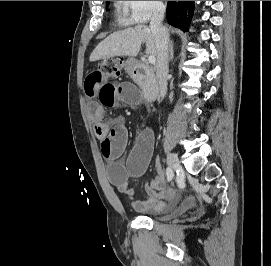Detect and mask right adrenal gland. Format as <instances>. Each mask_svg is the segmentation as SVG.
I'll return each mask as SVG.
<instances>
[{
	"mask_svg": "<svg viewBox=\"0 0 271 266\" xmlns=\"http://www.w3.org/2000/svg\"><path fill=\"white\" fill-rule=\"evenodd\" d=\"M169 54H170L169 59L172 60V59H173V55H174V51H173V43H172V41L169 42Z\"/></svg>",
	"mask_w": 271,
	"mask_h": 266,
	"instance_id": "1",
	"label": "right adrenal gland"
}]
</instances>
